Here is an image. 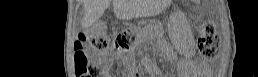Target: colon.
<instances>
[{
  "label": "colon",
  "mask_w": 258,
  "mask_h": 77,
  "mask_svg": "<svg viewBox=\"0 0 258 77\" xmlns=\"http://www.w3.org/2000/svg\"><path fill=\"white\" fill-rule=\"evenodd\" d=\"M134 35L130 31H122L115 39L116 46L128 48L132 45ZM76 73L78 76H88L95 70L90 65L86 55L89 50H102L108 46L106 26L96 22L80 30L77 37ZM200 54L207 60L216 59L220 51V37L211 23L203 25L198 40Z\"/></svg>",
  "instance_id": "obj_1"
}]
</instances>
